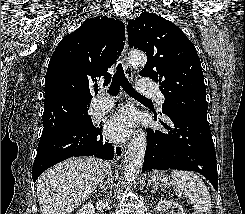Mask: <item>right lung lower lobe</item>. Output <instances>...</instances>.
<instances>
[{"label": "right lung lower lobe", "mask_w": 245, "mask_h": 214, "mask_svg": "<svg viewBox=\"0 0 245 214\" xmlns=\"http://www.w3.org/2000/svg\"><path fill=\"white\" fill-rule=\"evenodd\" d=\"M95 156L105 160L114 157V148L101 135L92 120L74 124L73 120L43 128L32 167L35 182L49 167L70 157Z\"/></svg>", "instance_id": "98d812e1"}]
</instances>
